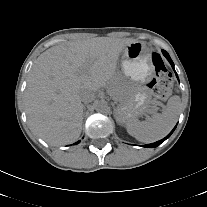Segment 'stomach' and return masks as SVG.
Returning <instances> with one entry per match:
<instances>
[{"label":"stomach","instance_id":"0dacf381","mask_svg":"<svg viewBox=\"0 0 207 207\" xmlns=\"http://www.w3.org/2000/svg\"><path fill=\"white\" fill-rule=\"evenodd\" d=\"M121 66L125 77L138 83L146 82L153 74L151 53L139 41L130 43L122 50ZM125 84L126 81L121 79L117 85L121 95L117 99L119 105L116 110V119L120 123H126L130 118L144 112L151 100L148 89L138 87L127 91Z\"/></svg>","mask_w":207,"mask_h":207}]
</instances>
